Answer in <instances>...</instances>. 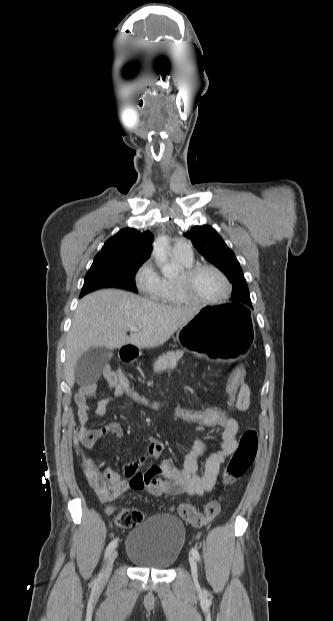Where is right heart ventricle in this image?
I'll use <instances>...</instances> for the list:
<instances>
[{
	"instance_id": "e07e8e85",
	"label": "right heart ventricle",
	"mask_w": 333,
	"mask_h": 621,
	"mask_svg": "<svg viewBox=\"0 0 333 621\" xmlns=\"http://www.w3.org/2000/svg\"><path fill=\"white\" fill-rule=\"evenodd\" d=\"M174 261L182 270L189 268L193 264V260H185L175 256ZM154 299L161 304L169 306H180L188 303L180 293L177 279L170 278H161V286Z\"/></svg>"
}]
</instances>
